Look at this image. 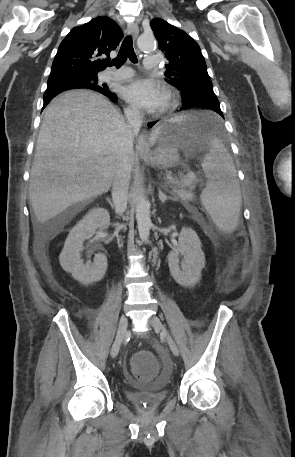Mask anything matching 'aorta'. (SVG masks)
I'll return each mask as SVG.
<instances>
[{"mask_svg": "<svg viewBox=\"0 0 295 457\" xmlns=\"http://www.w3.org/2000/svg\"><path fill=\"white\" fill-rule=\"evenodd\" d=\"M137 44L141 50L150 51L155 46V38L153 34H142L139 36ZM136 219L139 237L143 242H146L149 238L152 223L150 219V203L142 193L137 197Z\"/></svg>", "mask_w": 295, "mask_h": 457, "instance_id": "obj_1", "label": "aorta"}]
</instances>
